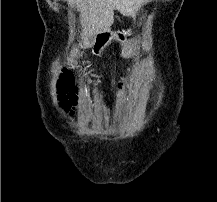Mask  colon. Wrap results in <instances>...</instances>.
<instances>
[{
    "instance_id": "obj_1",
    "label": "colon",
    "mask_w": 217,
    "mask_h": 202,
    "mask_svg": "<svg viewBox=\"0 0 217 202\" xmlns=\"http://www.w3.org/2000/svg\"><path fill=\"white\" fill-rule=\"evenodd\" d=\"M74 55H79V50H74ZM73 64H70V67H63L64 75L59 76V79L68 81L72 78H79V73H74V70L71 69ZM76 82H63L60 86V95L61 96H75L77 90ZM123 84L119 85V90L123 89ZM95 96L99 95L98 91L94 92ZM107 96H119V91H107ZM61 102H78V97H61ZM67 117H74V112H67Z\"/></svg>"
}]
</instances>
